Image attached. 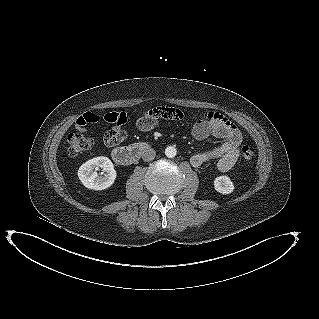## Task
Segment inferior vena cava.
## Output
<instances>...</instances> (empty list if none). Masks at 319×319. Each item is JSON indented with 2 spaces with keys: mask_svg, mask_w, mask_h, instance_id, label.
<instances>
[{
  "mask_svg": "<svg viewBox=\"0 0 319 319\" xmlns=\"http://www.w3.org/2000/svg\"><path fill=\"white\" fill-rule=\"evenodd\" d=\"M156 156V152L153 148H147L142 151V159L146 162L152 161Z\"/></svg>",
  "mask_w": 319,
  "mask_h": 319,
  "instance_id": "1",
  "label": "inferior vena cava"
}]
</instances>
